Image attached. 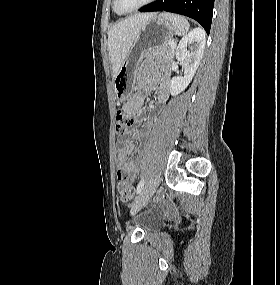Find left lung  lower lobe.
Instances as JSON below:
<instances>
[{
  "mask_svg": "<svg viewBox=\"0 0 280 285\" xmlns=\"http://www.w3.org/2000/svg\"><path fill=\"white\" fill-rule=\"evenodd\" d=\"M214 0H156L140 12L167 11L188 16L199 22L207 34L210 32Z\"/></svg>",
  "mask_w": 280,
  "mask_h": 285,
  "instance_id": "1",
  "label": "left lung lower lobe"
}]
</instances>
